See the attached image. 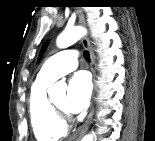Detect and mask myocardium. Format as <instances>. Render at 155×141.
I'll use <instances>...</instances> for the list:
<instances>
[{
    "mask_svg": "<svg viewBox=\"0 0 155 141\" xmlns=\"http://www.w3.org/2000/svg\"><path fill=\"white\" fill-rule=\"evenodd\" d=\"M49 103H50V107L52 109V112H53V115H54V118L56 119V121L65 126L69 120V117L68 115L66 114V112L59 108L54 102L53 100H49Z\"/></svg>",
    "mask_w": 155,
    "mask_h": 141,
    "instance_id": "f54148a6",
    "label": "myocardium"
}]
</instances>
